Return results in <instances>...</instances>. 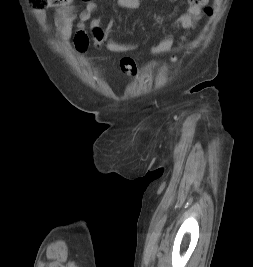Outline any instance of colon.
Segmentation results:
<instances>
[{
	"label": "colon",
	"instance_id": "1",
	"mask_svg": "<svg viewBox=\"0 0 253 267\" xmlns=\"http://www.w3.org/2000/svg\"><path fill=\"white\" fill-rule=\"evenodd\" d=\"M70 0H30L31 7L36 10H43L48 6H64L68 4ZM206 14H211L212 9L210 7L205 8ZM93 46L97 49L107 47L110 40V36L106 30L102 27L96 26L90 30ZM121 69L130 75L137 72V64L134 59L130 57L122 58L120 61Z\"/></svg>",
	"mask_w": 253,
	"mask_h": 267
}]
</instances>
